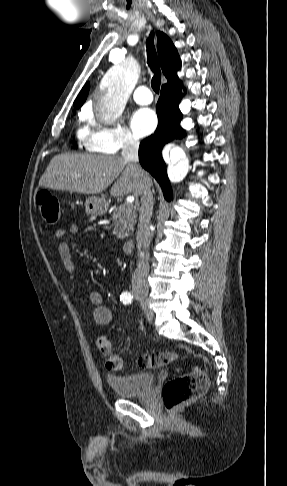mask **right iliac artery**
Masks as SVG:
<instances>
[{
  "label": "right iliac artery",
  "mask_w": 287,
  "mask_h": 486,
  "mask_svg": "<svg viewBox=\"0 0 287 486\" xmlns=\"http://www.w3.org/2000/svg\"><path fill=\"white\" fill-rule=\"evenodd\" d=\"M132 298H133V296L129 292H123L122 295L120 296V300L122 302L127 301V300L131 301Z\"/></svg>",
  "instance_id": "right-iliac-artery-1"
}]
</instances>
